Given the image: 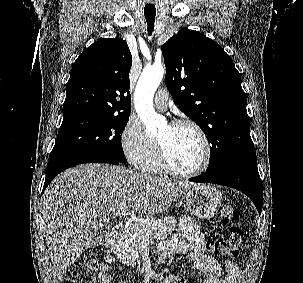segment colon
Here are the masks:
<instances>
[{
  "mask_svg": "<svg viewBox=\"0 0 303 283\" xmlns=\"http://www.w3.org/2000/svg\"><path fill=\"white\" fill-rule=\"evenodd\" d=\"M240 217V209L234 201L223 204L220 220L230 225L227 235L211 239L208 247L217 255L229 259L240 254L244 246V231L236 222ZM99 264V255L95 251L88 252L68 269L64 283H95Z\"/></svg>",
  "mask_w": 303,
  "mask_h": 283,
  "instance_id": "colon-1",
  "label": "colon"
}]
</instances>
